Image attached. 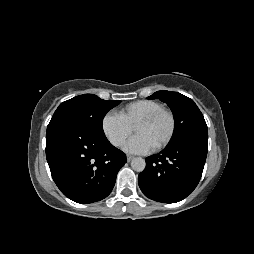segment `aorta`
Wrapping results in <instances>:
<instances>
[{
    "label": "aorta",
    "mask_w": 254,
    "mask_h": 254,
    "mask_svg": "<svg viewBox=\"0 0 254 254\" xmlns=\"http://www.w3.org/2000/svg\"><path fill=\"white\" fill-rule=\"evenodd\" d=\"M131 167L134 171L142 172L146 167V162L141 157H136L131 161Z\"/></svg>",
    "instance_id": "aorta-1"
}]
</instances>
